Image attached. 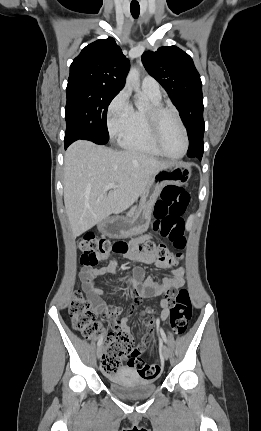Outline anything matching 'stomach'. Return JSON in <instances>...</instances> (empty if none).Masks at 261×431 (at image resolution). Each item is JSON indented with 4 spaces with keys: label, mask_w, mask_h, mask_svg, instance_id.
I'll return each mask as SVG.
<instances>
[{
    "label": "stomach",
    "mask_w": 261,
    "mask_h": 431,
    "mask_svg": "<svg viewBox=\"0 0 261 431\" xmlns=\"http://www.w3.org/2000/svg\"><path fill=\"white\" fill-rule=\"evenodd\" d=\"M191 169L185 163H170L160 168L151 178L141 195L140 205L132 217L114 218L99 224V230L110 237H131L147 231L153 206L162 189L167 185H186Z\"/></svg>",
    "instance_id": "obj_1"
}]
</instances>
